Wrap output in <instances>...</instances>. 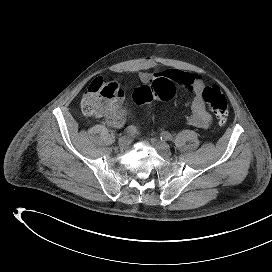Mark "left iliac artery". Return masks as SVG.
Returning <instances> with one entry per match:
<instances>
[{"mask_svg":"<svg viewBox=\"0 0 272 272\" xmlns=\"http://www.w3.org/2000/svg\"><path fill=\"white\" fill-rule=\"evenodd\" d=\"M161 140L172 141L173 136L169 132L164 131L161 133Z\"/></svg>","mask_w":272,"mask_h":272,"instance_id":"obj_1","label":"left iliac artery"}]
</instances>
